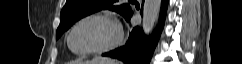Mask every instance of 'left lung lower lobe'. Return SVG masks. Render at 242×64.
<instances>
[{
  "label": "left lung lower lobe",
  "instance_id": "1",
  "mask_svg": "<svg viewBox=\"0 0 242 64\" xmlns=\"http://www.w3.org/2000/svg\"><path fill=\"white\" fill-rule=\"evenodd\" d=\"M167 5L168 0H162L159 24L153 32L151 40L146 38L142 29L135 27L123 47L105 53L103 56L118 59L124 64H149L164 26ZM132 15L131 11L125 18L126 21H130Z\"/></svg>",
  "mask_w": 242,
  "mask_h": 64
}]
</instances>
